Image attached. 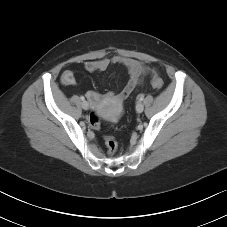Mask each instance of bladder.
I'll return each instance as SVG.
<instances>
[{
    "instance_id": "obj_1",
    "label": "bladder",
    "mask_w": 227,
    "mask_h": 227,
    "mask_svg": "<svg viewBox=\"0 0 227 227\" xmlns=\"http://www.w3.org/2000/svg\"><path fill=\"white\" fill-rule=\"evenodd\" d=\"M99 115L101 116H104L105 118L109 119V120H112L116 117V114L115 113H107V114H104L102 112H99Z\"/></svg>"
}]
</instances>
